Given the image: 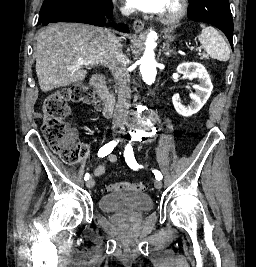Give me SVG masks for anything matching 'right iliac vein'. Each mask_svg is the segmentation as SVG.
Returning a JSON list of instances; mask_svg holds the SVG:
<instances>
[{
	"mask_svg": "<svg viewBox=\"0 0 256 267\" xmlns=\"http://www.w3.org/2000/svg\"><path fill=\"white\" fill-rule=\"evenodd\" d=\"M94 185H95V181H94L93 179H90V180H88V181L86 182V187H87L88 189L93 188Z\"/></svg>",
	"mask_w": 256,
	"mask_h": 267,
	"instance_id": "obj_1",
	"label": "right iliac vein"
}]
</instances>
